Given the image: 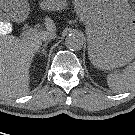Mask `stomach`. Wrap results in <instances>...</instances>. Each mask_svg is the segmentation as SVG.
<instances>
[{
	"instance_id": "obj_1",
	"label": "stomach",
	"mask_w": 135,
	"mask_h": 135,
	"mask_svg": "<svg viewBox=\"0 0 135 135\" xmlns=\"http://www.w3.org/2000/svg\"><path fill=\"white\" fill-rule=\"evenodd\" d=\"M14 16H25L27 0H1ZM55 9L62 0H47ZM74 9L86 25L88 53L92 64L112 70L135 58V12L128 0H74Z\"/></svg>"
}]
</instances>
